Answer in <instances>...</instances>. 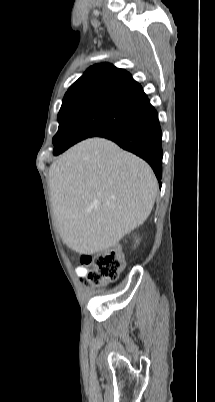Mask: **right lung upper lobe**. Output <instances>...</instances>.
<instances>
[{"mask_svg":"<svg viewBox=\"0 0 215 402\" xmlns=\"http://www.w3.org/2000/svg\"><path fill=\"white\" fill-rule=\"evenodd\" d=\"M109 94L140 104H147L149 99L141 85L131 74L109 63L91 66L68 89L65 96L84 94Z\"/></svg>","mask_w":215,"mask_h":402,"instance_id":"right-lung-upper-lobe-1","label":"right lung upper lobe"}]
</instances>
